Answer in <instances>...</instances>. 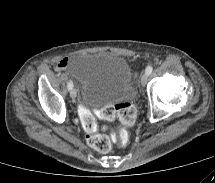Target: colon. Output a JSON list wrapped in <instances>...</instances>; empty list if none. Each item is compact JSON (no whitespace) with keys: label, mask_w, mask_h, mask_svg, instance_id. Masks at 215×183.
<instances>
[{"label":"colon","mask_w":215,"mask_h":183,"mask_svg":"<svg viewBox=\"0 0 215 183\" xmlns=\"http://www.w3.org/2000/svg\"><path fill=\"white\" fill-rule=\"evenodd\" d=\"M97 115L101 118L112 119L118 117L121 127L119 129L118 138L114 140L124 147L129 141V134L127 128L130 127L135 120L136 110L130 103H122L118 105H108L97 111ZM81 121L83 127L89 132L87 136V143L99 152H107L112 146V140L107 134L95 133V122L93 116L88 112L81 113Z\"/></svg>","instance_id":"colon-1"}]
</instances>
